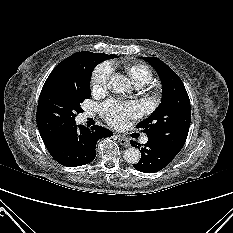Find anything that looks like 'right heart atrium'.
<instances>
[{
  "mask_svg": "<svg viewBox=\"0 0 233 233\" xmlns=\"http://www.w3.org/2000/svg\"><path fill=\"white\" fill-rule=\"evenodd\" d=\"M113 66L110 62H103L96 66L92 72V84L95 92L102 91L106 88L107 83L112 75Z\"/></svg>",
  "mask_w": 233,
  "mask_h": 233,
  "instance_id": "right-heart-atrium-1",
  "label": "right heart atrium"
}]
</instances>
